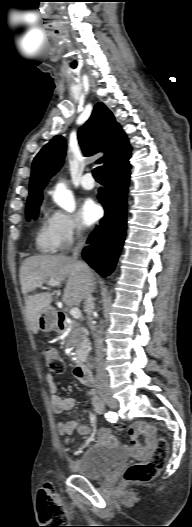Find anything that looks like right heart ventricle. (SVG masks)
Returning <instances> with one entry per match:
<instances>
[{
    "label": "right heart ventricle",
    "mask_w": 192,
    "mask_h": 527,
    "mask_svg": "<svg viewBox=\"0 0 192 527\" xmlns=\"http://www.w3.org/2000/svg\"><path fill=\"white\" fill-rule=\"evenodd\" d=\"M36 246L43 253H54L58 249L48 220H44L37 230Z\"/></svg>",
    "instance_id": "1"
}]
</instances>
